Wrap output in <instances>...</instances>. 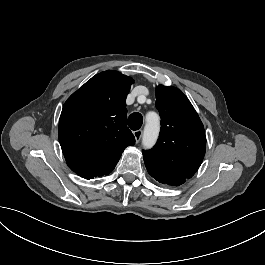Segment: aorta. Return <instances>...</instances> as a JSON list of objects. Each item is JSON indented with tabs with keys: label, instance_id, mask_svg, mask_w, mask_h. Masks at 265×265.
<instances>
[{
	"label": "aorta",
	"instance_id": "obj_1",
	"mask_svg": "<svg viewBox=\"0 0 265 265\" xmlns=\"http://www.w3.org/2000/svg\"><path fill=\"white\" fill-rule=\"evenodd\" d=\"M157 136V126L155 123H150L145 128L144 133V143L146 145H151L154 143Z\"/></svg>",
	"mask_w": 265,
	"mask_h": 265
}]
</instances>
